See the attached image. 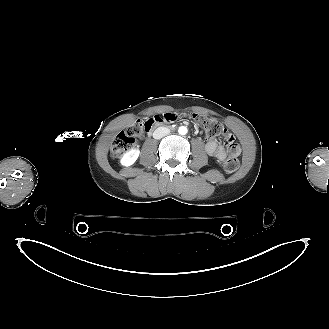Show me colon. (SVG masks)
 Here are the masks:
<instances>
[{"instance_id": "colon-1", "label": "colon", "mask_w": 329, "mask_h": 329, "mask_svg": "<svg viewBox=\"0 0 329 329\" xmlns=\"http://www.w3.org/2000/svg\"><path fill=\"white\" fill-rule=\"evenodd\" d=\"M175 114V113H173ZM157 116V115H156ZM156 116L145 121H137L125 130L121 131L111 149V153L114 158H119L125 151L129 148L133 147L137 140L141 138L145 132H147L151 126L153 125L154 121L156 120ZM178 117V115H177ZM194 119H197L199 124L205 130V132L210 136L220 137L224 140L226 144H231L233 141L232 135L229 133L228 129L219 121L206 118V117H199V116H192ZM224 166L227 171L234 172L239 167V160L236 157H229Z\"/></svg>"}]
</instances>
